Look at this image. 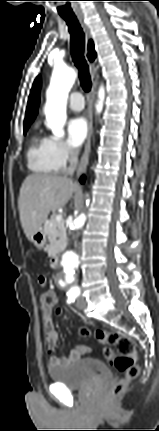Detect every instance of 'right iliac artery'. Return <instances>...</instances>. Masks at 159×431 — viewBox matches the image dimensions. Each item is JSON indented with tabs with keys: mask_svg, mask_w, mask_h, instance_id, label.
I'll use <instances>...</instances> for the list:
<instances>
[{
	"mask_svg": "<svg viewBox=\"0 0 159 431\" xmlns=\"http://www.w3.org/2000/svg\"><path fill=\"white\" fill-rule=\"evenodd\" d=\"M77 292H78V290L75 288H72L67 292L68 302H74V300L77 296Z\"/></svg>",
	"mask_w": 159,
	"mask_h": 431,
	"instance_id": "right-iliac-artery-1",
	"label": "right iliac artery"
}]
</instances>
